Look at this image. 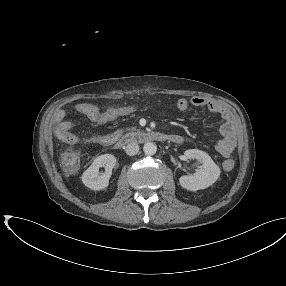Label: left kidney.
<instances>
[{
    "label": "left kidney",
    "instance_id": "1",
    "mask_svg": "<svg viewBox=\"0 0 286 286\" xmlns=\"http://www.w3.org/2000/svg\"><path fill=\"white\" fill-rule=\"evenodd\" d=\"M187 159L197 160L202 167L193 175H185L179 178L180 185L190 191L208 188L216 182L220 176V168L212 158L204 151L189 149L184 152Z\"/></svg>",
    "mask_w": 286,
    "mask_h": 286
}]
</instances>
